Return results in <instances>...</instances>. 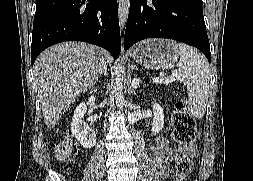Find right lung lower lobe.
<instances>
[{"label": "right lung lower lobe", "mask_w": 253, "mask_h": 181, "mask_svg": "<svg viewBox=\"0 0 253 181\" xmlns=\"http://www.w3.org/2000/svg\"><path fill=\"white\" fill-rule=\"evenodd\" d=\"M71 40L98 45L117 58L121 49L117 0H37L32 65L47 47Z\"/></svg>", "instance_id": "obj_1"}]
</instances>
